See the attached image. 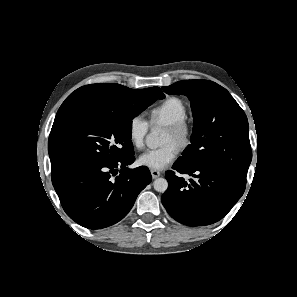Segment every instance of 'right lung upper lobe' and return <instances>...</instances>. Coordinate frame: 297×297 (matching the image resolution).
I'll use <instances>...</instances> for the list:
<instances>
[{"label": "right lung upper lobe", "mask_w": 297, "mask_h": 297, "mask_svg": "<svg viewBox=\"0 0 297 297\" xmlns=\"http://www.w3.org/2000/svg\"><path fill=\"white\" fill-rule=\"evenodd\" d=\"M153 91L165 97L159 87H151ZM134 89L116 83H99L85 85L72 92L60 106L50 136L54 134L57 125L72 115L92 108L116 107L123 104ZM53 176V175H52Z\"/></svg>", "instance_id": "right-lung-upper-lobe-1"}]
</instances>
